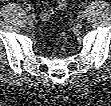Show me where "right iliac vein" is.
Returning a JSON list of instances; mask_svg holds the SVG:
<instances>
[{
	"label": "right iliac vein",
	"instance_id": "1",
	"mask_svg": "<svg viewBox=\"0 0 111 106\" xmlns=\"http://www.w3.org/2000/svg\"><path fill=\"white\" fill-rule=\"evenodd\" d=\"M26 21H27V23L29 24V25H31V24H33V22H34V18H33V16H27L26 17Z\"/></svg>",
	"mask_w": 111,
	"mask_h": 106
}]
</instances>
